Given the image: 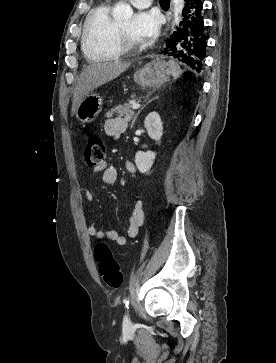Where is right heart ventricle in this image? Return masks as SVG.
Instances as JSON below:
<instances>
[{"label": "right heart ventricle", "instance_id": "1", "mask_svg": "<svg viewBox=\"0 0 276 363\" xmlns=\"http://www.w3.org/2000/svg\"><path fill=\"white\" fill-rule=\"evenodd\" d=\"M115 20L109 2L99 4L86 18L81 39L82 50L91 61H110L121 56L114 39Z\"/></svg>", "mask_w": 276, "mask_h": 363}]
</instances>
